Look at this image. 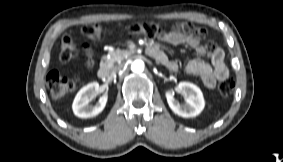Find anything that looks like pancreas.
I'll list each match as a JSON object with an SVG mask.
<instances>
[{"label":"pancreas","mask_w":283,"mask_h":162,"mask_svg":"<svg viewBox=\"0 0 283 162\" xmlns=\"http://www.w3.org/2000/svg\"><path fill=\"white\" fill-rule=\"evenodd\" d=\"M127 53L125 51H121L119 49L109 52L107 56H103L101 58L100 65L105 66L107 68H113L115 63H120L125 59Z\"/></svg>","instance_id":"1"}]
</instances>
